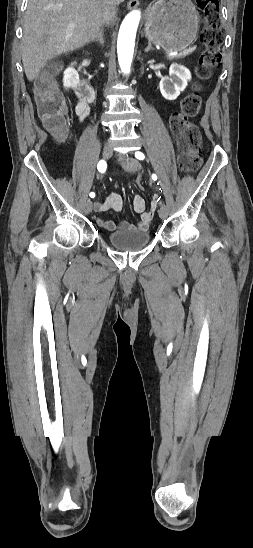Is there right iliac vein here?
I'll list each match as a JSON object with an SVG mask.
<instances>
[{"mask_svg": "<svg viewBox=\"0 0 253 548\" xmlns=\"http://www.w3.org/2000/svg\"><path fill=\"white\" fill-rule=\"evenodd\" d=\"M112 155V147L110 145H106L103 149L102 156L105 160L109 159ZM85 209L87 213H90L93 209L92 202L90 200L87 201L85 205Z\"/></svg>", "mask_w": 253, "mask_h": 548, "instance_id": "obj_1", "label": "right iliac vein"}]
</instances>
